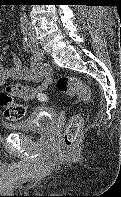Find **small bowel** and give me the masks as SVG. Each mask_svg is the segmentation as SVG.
Masks as SVG:
<instances>
[{
    "label": "small bowel",
    "instance_id": "small-bowel-1",
    "mask_svg": "<svg viewBox=\"0 0 121 197\" xmlns=\"http://www.w3.org/2000/svg\"><path fill=\"white\" fill-rule=\"evenodd\" d=\"M24 47L25 49L32 51V55L29 59V66H24L20 59L15 54L11 53L12 66L8 67L5 65L4 57L5 54L9 52V48L5 47L0 52V86H2L8 79H23L27 81L40 82L36 88L30 87L33 91V96L31 98L20 97L24 99H33L37 93L45 91L51 84L52 71L47 64L42 62L37 48L35 49L27 42Z\"/></svg>",
    "mask_w": 121,
    "mask_h": 197
}]
</instances>
